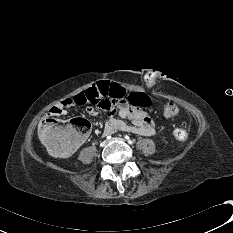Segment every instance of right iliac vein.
I'll use <instances>...</instances> for the list:
<instances>
[{"label":"right iliac vein","instance_id":"obj_1","mask_svg":"<svg viewBox=\"0 0 233 233\" xmlns=\"http://www.w3.org/2000/svg\"><path fill=\"white\" fill-rule=\"evenodd\" d=\"M107 141H103L100 145H101V147H105L106 145H107Z\"/></svg>","mask_w":233,"mask_h":233}]
</instances>
